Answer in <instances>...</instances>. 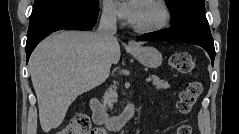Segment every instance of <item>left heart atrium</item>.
I'll return each mask as SVG.
<instances>
[{
    "label": "left heart atrium",
    "mask_w": 239,
    "mask_h": 134,
    "mask_svg": "<svg viewBox=\"0 0 239 134\" xmlns=\"http://www.w3.org/2000/svg\"><path fill=\"white\" fill-rule=\"evenodd\" d=\"M120 15L129 23L134 24L139 12L141 1L138 0H126L116 2Z\"/></svg>",
    "instance_id": "obj_1"
}]
</instances>
